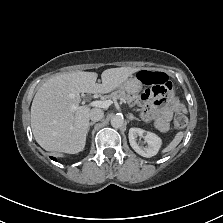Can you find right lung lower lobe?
Masks as SVG:
<instances>
[{
  "label": "right lung lower lobe",
  "mask_w": 223,
  "mask_h": 223,
  "mask_svg": "<svg viewBox=\"0 0 223 223\" xmlns=\"http://www.w3.org/2000/svg\"><path fill=\"white\" fill-rule=\"evenodd\" d=\"M53 160H56L54 157H51Z\"/></svg>",
  "instance_id": "98d812e1"
}]
</instances>
